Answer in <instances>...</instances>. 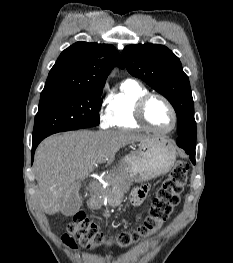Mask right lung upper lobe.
Instances as JSON below:
<instances>
[{"label":"right lung upper lobe","mask_w":233,"mask_h":263,"mask_svg":"<svg viewBox=\"0 0 233 263\" xmlns=\"http://www.w3.org/2000/svg\"><path fill=\"white\" fill-rule=\"evenodd\" d=\"M114 66L123 68L121 56L113 45L77 42L60 54L41 95L102 89Z\"/></svg>","instance_id":"cb5924a9"}]
</instances>
